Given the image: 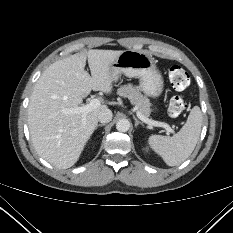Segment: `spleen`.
I'll return each instance as SVG.
<instances>
[{"mask_svg": "<svg viewBox=\"0 0 233 233\" xmlns=\"http://www.w3.org/2000/svg\"><path fill=\"white\" fill-rule=\"evenodd\" d=\"M202 112L194 106L181 130L173 136L152 135L149 137L151 148L169 166L184 162L193 152L201 132Z\"/></svg>", "mask_w": 233, "mask_h": 233, "instance_id": "spleen-1", "label": "spleen"}]
</instances>
